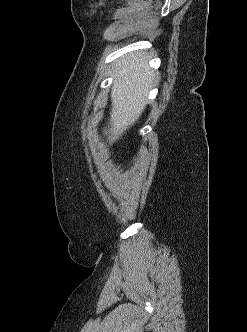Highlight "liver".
<instances>
[{"label":"liver","mask_w":247,"mask_h":332,"mask_svg":"<svg viewBox=\"0 0 247 332\" xmlns=\"http://www.w3.org/2000/svg\"><path fill=\"white\" fill-rule=\"evenodd\" d=\"M156 76L147 66L145 53L135 52L120 58L111 92V118L108 129L104 130L110 143L118 140L139 119Z\"/></svg>","instance_id":"liver-1"}]
</instances>
